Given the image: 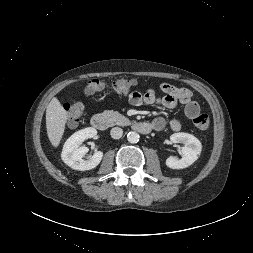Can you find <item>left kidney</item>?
Here are the masks:
<instances>
[{
  "label": "left kidney",
  "instance_id": "5707ae66",
  "mask_svg": "<svg viewBox=\"0 0 253 253\" xmlns=\"http://www.w3.org/2000/svg\"><path fill=\"white\" fill-rule=\"evenodd\" d=\"M173 143H181L183 154L181 159L170 156L166 159V165L172 169H183L193 164L200 156L202 145L201 142L191 134L179 132L170 136Z\"/></svg>",
  "mask_w": 253,
  "mask_h": 253
}]
</instances>
